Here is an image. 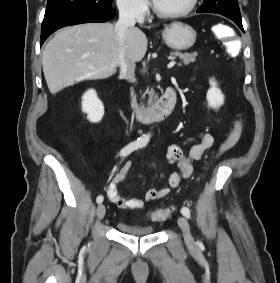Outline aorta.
<instances>
[{"instance_id":"1","label":"aorta","mask_w":280,"mask_h":283,"mask_svg":"<svg viewBox=\"0 0 280 283\" xmlns=\"http://www.w3.org/2000/svg\"><path fill=\"white\" fill-rule=\"evenodd\" d=\"M150 139V134L144 135L143 138L141 139L143 143H147Z\"/></svg>"}]
</instances>
